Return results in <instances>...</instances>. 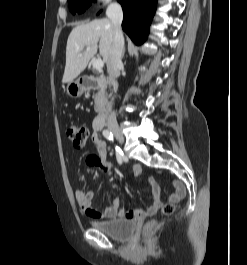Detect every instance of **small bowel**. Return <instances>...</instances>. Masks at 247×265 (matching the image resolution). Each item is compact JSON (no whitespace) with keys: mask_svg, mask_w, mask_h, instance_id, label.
I'll list each match as a JSON object with an SVG mask.
<instances>
[{"mask_svg":"<svg viewBox=\"0 0 247 265\" xmlns=\"http://www.w3.org/2000/svg\"><path fill=\"white\" fill-rule=\"evenodd\" d=\"M91 141L96 145V153L90 154L86 157V163L90 167H96L105 172H112L114 166L106 160V143L101 139L98 130L91 134ZM134 172L139 173L140 167L135 166ZM153 203L146 210L141 209H126L120 208V199L114 198L111 203L104 209L97 208L93 205L94 192L83 191L78 189L75 191V199L81 208L82 212L89 217L95 219L104 218H126L137 222L143 221L146 217L155 215L162 205V201L159 195L158 186L153 183ZM186 194V189L181 183L175 184V191L170 195L169 200L171 202H178Z\"/></svg>","mask_w":247,"mask_h":265,"instance_id":"c3829d8e","label":"small bowel"}]
</instances>
